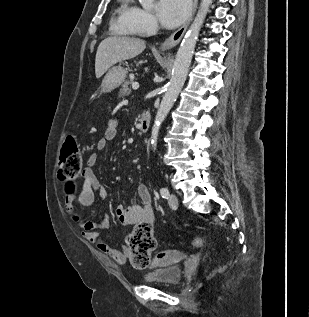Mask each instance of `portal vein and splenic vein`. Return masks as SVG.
I'll return each mask as SVG.
<instances>
[{
    "label": "portal vein and splenic vein",
    "instance_id": "obj_1",
    "mask_svg": "<svg viewBox=\"0 0 309 317\" xmlns=\"http://www.w3.org/2000/svg\"><path fill=\"white\" fill-rule=\"evenodd\" d=\"M132 88H133V90H137V89L139 88V83L134 82V83L132 84Z\"/></svg>",
    "mask_w": 309,
    "mask_h": 317
}]
</instances>
